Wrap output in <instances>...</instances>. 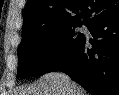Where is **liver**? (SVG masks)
I'll return each instance as SVG.
<instances>
[{
    "label": "liver",
    "mask_w": 119,
    "mask_h": 95,
    "mask_svg": "<svg viewBox=\"0 0 119 95\" xmlns=\"http://www.w3.org/2000/svg\"><path fill=\"white\" fill-rule=\"evenodd\" d=\"M17 95H87V93L67 75L50 72L31 86L20 90Z\"/></svg>",
    "instance_id": "liver-1"
}]
</instances>
